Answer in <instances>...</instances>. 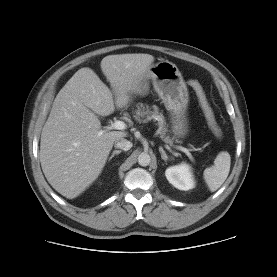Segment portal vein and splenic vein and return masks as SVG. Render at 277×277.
<instances>
[{
  "label": "portal vein and splenic vein",
  "mask_w": 277,
  "mask_h": 277,
  "mask_svg": "<svg viewBox=\"0 0 277 277\" xmlns=\"http://www.w3.org/2000/svg\"><path fill=\"white\" fill-rule=\"evenodd\" d=\"M112 129H115V130H124V129H126V124L123 121L117 120L114 123H112L109 127H107V130H112ZM177 148L180 151L184 152L191 160H193V156L190 153L189 149H187L185 147H182V146H178ZM193 149L195 151L199 150L198 148H193Z\"/></svg>",
  "instance_id": "portal-vein-and-splenic-vein-1"
}]
</instances>
